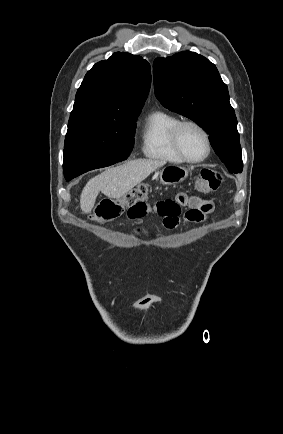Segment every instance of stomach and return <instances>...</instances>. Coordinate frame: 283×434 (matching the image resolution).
<instances>
[{"label":"stomach","mask_w":283,"mask_h":434,"mask_svg":"<svg viewBox=\"0 0 283 434\" xmlns=\"http://www.w3.org/2000/svg\"><path fill=\"white\" fill-rule=\"evenodd\" d=\"M188 176V170L182 166H168L160 171L159 179L164 185H173L185 180Z\"/></svg>","instance_id":"obj_1"}]
</instances>
